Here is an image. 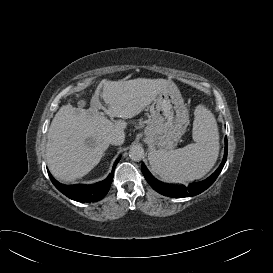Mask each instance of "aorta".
<instances>
[{"label":"aorta","mask_w":273,"mask_h":273,"mask_svg":"<svg viewBox=\"0 0 273 273\" xmlns=\"http://www.w3.org/2000/svg\"><path fill=\"white\" fill-rule=\"evenodd\" d=\"M145 156L144 149L140 145L132 146L129 150V157L133 161H141Z\"/></svg>","instance_id":"1"}]
</instances>
